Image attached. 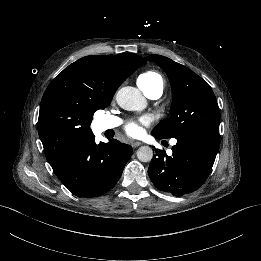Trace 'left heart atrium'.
<instances>
[{
    "instance_id": "39dd6f15",
    "label": "left heart atrium",
    "mask_w": 261,
    "mask_h": 261,
    "mask_svg": "<svg viewBox=\"0 0 261 261\" xmlns=\"http://www.w3.org/2000/svg\"><path fill=\"white\" fill-rule=\"evenodd\" d=\"M126 133L133 138H137L142 135L143 129L141 127V124L137 122H131L129 123L125 128Z\"/></svg>"
}]
</instances>
